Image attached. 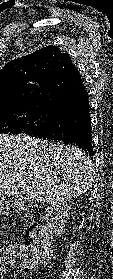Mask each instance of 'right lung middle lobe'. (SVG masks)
Segmentation results:
<instances>
[{
  "label": "right lung middle lobe",
  "mask_w": 113,
  "mask_h": 279,
  "mask_svg": "<svg viewBox=\"0 0 113 279\" xmlns=\"http://www.w3.org/2000/svg\"><path fill=\"white\" fill-rule=\"evenodd\" d=\"M63 108L51 105H35L0 109V134L28 133L54 122Z\"/></svg>",
  "instance_id": "right-lung-middle-lobe-1"
}]
</instances>
